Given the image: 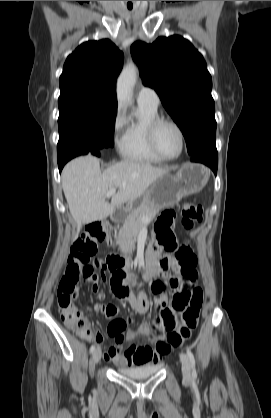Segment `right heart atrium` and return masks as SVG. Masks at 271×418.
I'll return each mask as SVG.
<instances>
[{
    "label": "right heart atrium",
    "mask_w": 271,
    "mask_h": 418,
    "mask_svg": "<svg viewBox=\"0 0 271 418\" xmlns=\"http://www.w3.org/2000/svg\"><path fill=\"white\" fill-rule=\"evenodd\" d=\"M125 124V116L121 108H119L115 114L113 121V134L116 145L120 146L122 137L120 136L121 130Z\"/></svg>",
    "instance_id": "d8ad5b80"
}]
</instances>
